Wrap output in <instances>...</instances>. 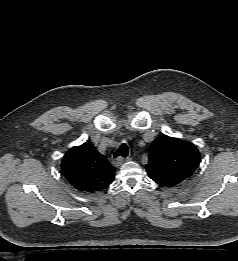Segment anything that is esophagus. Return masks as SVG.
Returning a JSON list of instances; mask_svg holds the SVG:
<instances>
[{
    "label": "esophagus",
    "instance_id": "esophagus-1",
    "mask_svg": "<svg viewBox=\"0 0 238 261\" xmlns=\"http://www.w3.org/2000/svg\"><path fill=\"white\" fill-rule=\"evenodd\" d=\"M129 159H130L129 157H127L126 159L123 157H118L113 161V164L115 167H119L125 160H129Z\"/></svg>",
    "mask_w": 238,
    "mask_h": 261
}]
</instances>
